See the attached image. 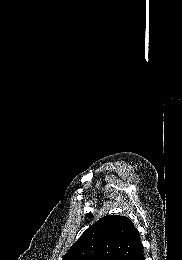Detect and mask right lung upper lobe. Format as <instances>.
Returning <instances> with one entry per match:
<instances>
[{"instance_id":"1","label":"right lung upper lobe","mask_w":182,"mask_h":260,"mask_svg":"<svg viewBox=\"0 0 182 260\" xmlns=\"http://www.w3.org/2000/svg\"><path fill=\"white\" fill-rule=\"evenodd\" d=\"M141 250L140 235L132 221L106 215L81 235L63 260H131Z\"/></svg>"}]
</instances>
